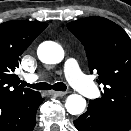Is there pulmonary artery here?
<instances>
[{
	"label": "pulmonary artery",
	"mask_w": 131,
	"mask_h": 131,
	"mask_svg": "<svg viewBox=\"0 0 131 131\" xmlns=\"http://www.w3.org/2000/svg\"><path fill=\"white\" fill-rule=\"evenodd\" d=\"M64 71L66 78L70 84L77 89L81 94L87 97H93L96 92V86L92 83L87 76L81 71L77 61L73 58L66 60L64 65ZM38 79L37 75H30L29 81H35Z\"/></svg>",
	"instance_id": "obj_1"
}]
</instances>
